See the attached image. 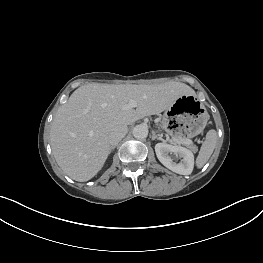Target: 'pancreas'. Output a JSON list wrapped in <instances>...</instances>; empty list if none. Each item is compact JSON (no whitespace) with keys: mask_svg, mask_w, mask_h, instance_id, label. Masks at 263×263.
<instances>
[{"mask_svg":"<svg viewBox=\"0 0 263 263\" xmlns=\"http://www.w3.org/2000/svg\"><path fill=\"white\" fill-rule=\"evenodd\" d=\"M176 140H186V139L175 136L174 140L172 142L173 143H177V144H181V143L177 142ZM185 146L188 147L189 149H191L194 152L197 151V147L195 145H193V144H185Z\"/></svg>","mask_w":263,"mask_h":263,"instance_id":"cf45deb5","label":"pancreas"}]
</instances>
